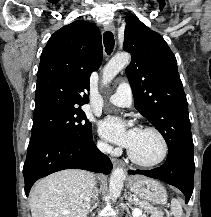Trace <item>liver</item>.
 Segmentation results:
<instances>
[{"label": "liver", "mask_w": 211, "mask_h": 217, "mask_svg": "<svg viewBox=\"0 0 211 217\" xmlns=\"http://www.w3.org/2000/svg\"><path fill=\"white\" fill-rule=\"evenodd\" d=\"M94 186L91 172L67 169L53 173L31 190L32 217H87Z\"/></svg>", "instance_id": "liver-1"}]
</instances>
